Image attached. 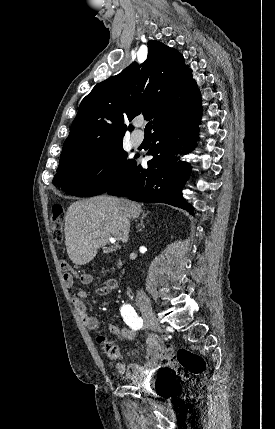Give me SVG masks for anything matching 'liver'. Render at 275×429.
Listing matches in <instances>:
<instances>
[{
	"label": "liver",
	"mask_w": 275,
	"mask_h": 429,
	"mask_svg": "<svg viewBox=\"0 0 275 429\" xmlns=\"http://www.w3.org/2000/svg\"><path fill=\"white\" fill-rule=\"evenodd\" d=\"M141 212L136 202L105 195L72 203L65 216V244L70 260L76 265L89 263L111 236H119L126 243L130 220Z\"/></svg>",
	"instance_id": "1"
}]
</instances>
